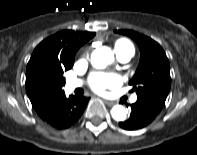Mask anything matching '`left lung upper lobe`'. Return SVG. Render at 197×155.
I'll return each mask as SVG.
<instances>
[{"instance_id":"1","label":"left lung upper lobe","mask_w":197,"mask_h":155,"mask_svg":"<svg viewBox=\"0 0 197 155\" xmlns=\"http://www.w3.org/2000/svg\"><path fill=\"white\" fill-rule=\"evenodd\" d=\"M115 32L132 38L139 46L140 62L129 82L138 100L161 110L171 86L170 65L164 50L156 41L135 31Z\"/></svg>"}]
</instances>
